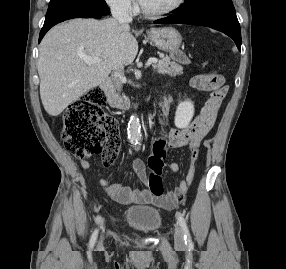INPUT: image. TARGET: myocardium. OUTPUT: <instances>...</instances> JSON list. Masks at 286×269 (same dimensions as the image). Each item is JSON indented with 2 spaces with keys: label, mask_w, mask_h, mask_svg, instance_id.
Returning a JSON list of instances; mask_svg holds the SVG:
<instances>
[{
  "label": "myocardium",
  "mask_w": 286,
  "mask_h": 269,
  "mask_svg": "<svg viewBox=\"0 0 286 269\" xmlns=\"http://www.w3.org/2000/svg\"><path fill=\"white\" fill-rule=\"evenodd\" d=\"M138 1H139L140 11L143 15L147 17H151V18H157V17H162V16L175 12L178 8L182 6L185 0H175L169 7L162 9V10H158V11L148 10L144 7L141 0H138Z\"/></svg>",
  "instance_id": "f54148a6"
}]
</instances>
